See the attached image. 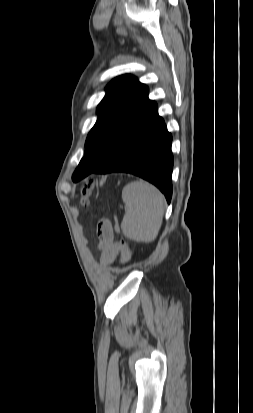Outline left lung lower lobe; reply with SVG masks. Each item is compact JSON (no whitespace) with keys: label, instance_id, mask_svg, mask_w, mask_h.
<instances>
[{"label":"left lung lower lobe","instance_id":"0a47b994","mask_svg":"<svg viewBox=\"0 0 253 413\" xmlns=\"http://www.w3.org/2000/svg\"><path fill=\"white\" fill-rule=\"evenodd\" d=\"M121 137L111 158L94 173L127 172L157 186L172 197V136L152 103L137 117L123 121Z\"/></svg>","mask_w":253,"mask_h":413}]
</instances>
